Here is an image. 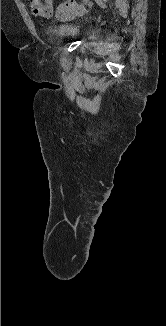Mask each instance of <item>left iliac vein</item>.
<instances>
[{
    "label": "left iliac vein",
    "instance_id": "left-iliac-vein-1",
    "mask_svg": "<svg viewBox=\"0 0 166 326\" xmlns=\"http://www.w3.org/2000/svg\"><path fill=\"white\" fill-rule=\"evenodd\" d=\"M84 1V3L86 4L89 0H83Z\"/></svg>",
    "mask_w": 166,
    "mask_h": 326
}]
</instances>
